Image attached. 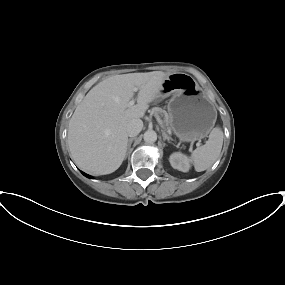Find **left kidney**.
Instances as JSON below:
<instances>
[{
	"instance_id": "5707ae66",
	"label": "left kidney",
	"mask_w": 285,
	"mask_h": 285,
	"mask_svg": "<svg viewBox=\"0 0 285 285\" xmlns=\"http://www.w3.org/2000/svg\"><path fill=\"white\" fill-rule=\"evenodd\" d=\"M169 161L171 166L179 171L187 172L190 169L189 158L180 152L173 153L170 156Z\"/></svg>"
}]
</instances>
